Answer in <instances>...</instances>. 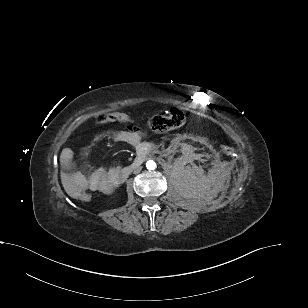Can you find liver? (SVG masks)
<instances>
[{"instance_id":"1","label":"liver","mask_w":308,"mask_h":308,"mask_svg":"<svg viewBox=\"0 0 308 308\" xmlns=\"http://www.w3.org/2000/svg\"><path fill=\"white\" fill-rule=\"evenodd\" d=\"M61 181H62L63 187H64L65 191L68 193V195L75 198L76 194H75V192L72 188L70 178L66 173H63V172L61 173Z\"/></svg>"}]
</instances>
